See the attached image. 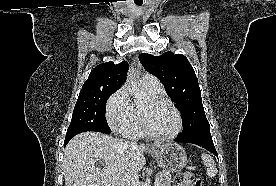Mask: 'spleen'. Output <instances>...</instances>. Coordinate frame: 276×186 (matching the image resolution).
<instances>
[{"label":"spleen","mask_w":276,"mask_h":186,"mask_svg":"<svg viewBox=\"0 0 276 186\" xmlns=\"http://www.w3.org/2000/svg\"><path fill=\"white\" fill-rule=\"evenodd\" d=\"M201 159L204 163V165L207 167L206 173L209 177H215L217 175V168H216V164L215 161L213 160V158L208 155L203 153L201 155Z\"/></svg>","instance_id":"obj_1"}]
</instances>
